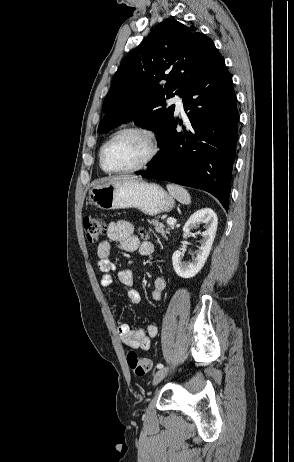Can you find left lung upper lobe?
Returning <instances> with one entry per match:
<instances>
[{"instance_id": "1", "label": "left lung upper lobe", "mask_w": 294, "mask_h": 462, "mask_svg": "<svg viewBox=\"0 0 294 462\" xmlns=\"http://www.w3.org/2000/svg\"><path fill=\"white\" fill-rule=\"evenodd\" d=\"M221 58L211 39L194 26L175 19L161 22L116 71L98 132L107 133L134 120L157 133L159 142L174 120L175 106L166 108L165 100L182 95L206 67Z\"/></svg>"}]
</instances>
